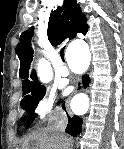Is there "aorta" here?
<instances>
[{"instance_id":"aorta-1","label":"aorta","mask_w":124,"mask_h":149,"mask_svg":"<svg viewBox=\"0 0 124 149\" xmlns=\"http://www.w3.org/2000/svg\"><path fill=\"white\" fill-rule=\"evenodd\" d=\"M78 44L79 46L76 49V54L88 61L90 58V52L88 50V46L86 45L85 42H82V41L79 42ZM40 77L43 82H48L51 79V72L49 67L46 64H42L41 66Z\"/></svg>"}]
</instances>
